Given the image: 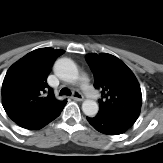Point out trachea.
I'll use <instances>...</instances> for the list:
<instances>
[{
    "label": "trachea",
    "mask_w": 163,
    "mask_h": 163,
    "mask_svg": "<svg viewBox=\"0 0 163 163\" xmlns=\"http://www.w3.org/2000/svg\"><path fill=\"white\" fill-rule=\"evenodd\" d=\"M60 96L62 95H66V96H70L71 95V91L67 88H62L60 93H59Z\"/></svg>",
    "instance_id": "3493384b"
}]
</instances>
